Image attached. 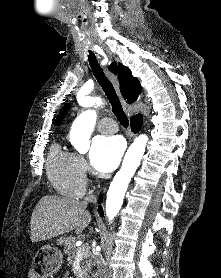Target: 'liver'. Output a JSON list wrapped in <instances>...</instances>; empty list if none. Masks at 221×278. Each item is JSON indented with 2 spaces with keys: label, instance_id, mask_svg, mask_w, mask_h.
I'll use <instances>...</instances> for the list:
<instances>
[{
  "label": "liver",
  "instance_id": "liver-1",
  "mask_svg": "<svg viewBox=\"0 0 221 278\" xmlns=\"http://www.w3.org/2000/svg\"><path fill=\"white\" fill-rule=\"evenodd\" d=\"M87 204L60 195H45L31 216L30 239L40 242L75 230L81 234L91 221Z\"/></svg>",
  "mask_w": 221,
  "mask_h": 278
}]
</instances>
